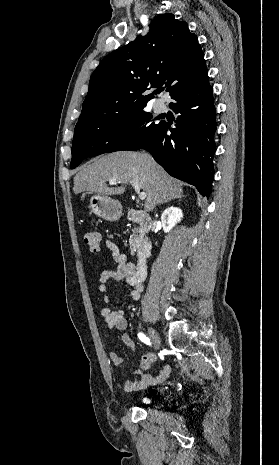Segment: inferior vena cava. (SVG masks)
Wrapping results in <instances>:
<instances>
[{
  "label": "inferior vena cava",
  "instance_id": "obj_1",
  "mask_svg": "<svg viewBox=\"0 0 279 465\" xmlns=\"http://www.w3.org/2000/svg\"><path fill=\"white\" fill-rule=\"evenodd\" d=\"M146 157H147L149 160H151V158H152V157H151L150 155H148V154H146Z\"/></svg>",
  "mask_w": 279,
  "mask_h": 465
}]
</instances>
